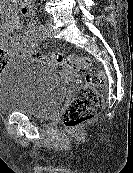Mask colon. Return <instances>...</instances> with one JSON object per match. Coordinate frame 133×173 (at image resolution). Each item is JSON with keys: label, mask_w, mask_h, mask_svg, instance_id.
<instances>
[{"label": "colon", "mask_w": 133, "mask_h": 173, "mask_svg": "<svg viewBox=\"0 0 133 173\" xmlns=\"http://www.w3.org/2000/svg\"><path fill=\"white\" fill-rule=\"evenodd\" d=\"M33 57L40 61L67 66L75 78L78 89L63 114L66 128H75L92 119L102 108L103 100L99 88L105 83L104 73L91 66L87 57L65 56L59 52H38ZM7 57L0 50V66H4Z\"/></svg>", "instance_id": "1"}]
</instances>
